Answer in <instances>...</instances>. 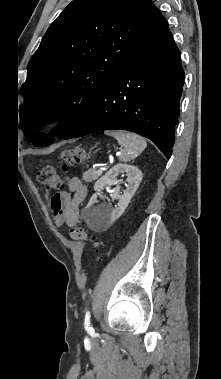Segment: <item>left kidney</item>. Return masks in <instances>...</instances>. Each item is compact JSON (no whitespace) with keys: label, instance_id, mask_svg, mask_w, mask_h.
<instances>
[{"label":"left kidney","instance_id":"1","mask_svg":"<svg viewBox=\"0 0 221 379\" xmlns=\"http://www.w3.org/2000/svg\"><path fill=\"white\" fill-rule=\"evenodd\" d=\"M121 173H126L127 175L128 184L126 185V189L123 190V194H120V187L117 186L110 194L112 199H118L117 206L115 208L108 205L95 207L94 203L96 202L97 194L105 185H116L117 176ZM142 176V172L135 166L117 164L101 177L94 186L96 193L91 197L83 210V216L88 227L93 230L106 229L118 219L127 208L132 196L139 187Z\"/></svg>","mask_w":221,"mask_h":379}]
</instances>
